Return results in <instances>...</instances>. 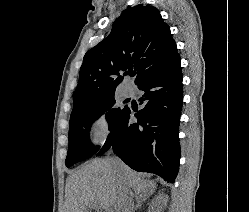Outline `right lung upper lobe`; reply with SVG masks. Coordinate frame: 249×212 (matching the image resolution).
<instances>
[{"mask_svg": "<svg viewBox=\"0 0 249 212\" xmlns=\"http://www.w3.org/2000/svg\"><path fill=\"white\" fill-rule=\"evenodd\" d=\"M169 26L155 7L139 4L125 9L109 36L84 56L73 109L96 103L115 93L121 74L132 69L140 85L177 55Z\"/></svg>", "mask_w": 249, "mask_h": 212, "instance_id": "cb5924a9", "label": "right lung upper lobe"}]
</instances>
